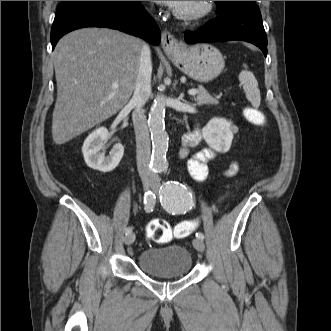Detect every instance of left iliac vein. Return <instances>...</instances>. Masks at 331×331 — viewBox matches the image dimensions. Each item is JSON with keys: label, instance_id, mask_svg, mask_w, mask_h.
Returning a JSON list of instances; mask_svg holds the SVG:
<instances>
[{"label": "left iliac vein", "instance_id": "obj_1", "mask_svg": "<svg viewBox=\"0 0 331 331\" xmlns=\"http://www.w3.org/2000/svg\"><path fill=\"white\" fill-rule=\"evenodd\" d=\"M151 188L153 189V191L157 192L160 188V180L158 178H154L152 180V184H151ZM192 244L194 246V248L196 250H198L199 252H204L205 250V245L203 240L199 239V238H195L192 241Z\"/></svg>", "mask_w": 331, "mask_h": 331}]
</instances>
